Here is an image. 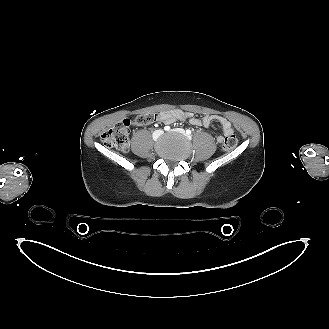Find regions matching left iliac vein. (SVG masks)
I'll use <instances>...</instances> for the list:
<instances>
[{
    "label": "left iliac vein",
    "mask_w": 329,
    "mask_h": 329,
    "mask_svg": "<svg viewBox=\"0 0 329 329\" xmlns=\"http://www.w3.org/2000/svg\"><path fill=\"white\" fill-rule=\"evenodd\" d=\"M175 131L178 132V133H180V134L185 135V131L182 128H177Z\"/></svg>",
    "instance_id": "1"
}]
</instances>
